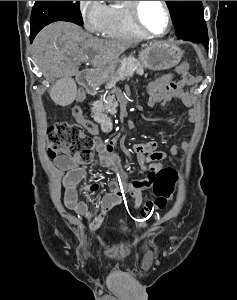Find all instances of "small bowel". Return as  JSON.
Instances as JSON below:
<instances>
[{
  "label": "small bowel",
  "mask_w": 237,
  "mask_h": 300,
  "mask_svg": "<svg viewBox=\"0 0 237 300\" xmlns=\"http://www.w3.org/2000/svg\"><path fill=\"white\" fill-rule=\"evenodd\" d=\"M172 75H165L153 82H151L147 87V94L150 95L157 89L164 87L165 85L173 82ZM198 76H194V85L199 81ZM179 87L176 90L168 93L161 101L160 105H166L171 99H180L187 107L193 106L192 96L185 91V87ZM82 96L79 95V98ZM195 113L193 111L189 112L188 121H194ZM77 122L84 126L89 133L98 134L100 132L99 127L92 123L91 121L85 119L84 117H77ZM158 143L156 141H147L142 143H136L132 146V151L137 156V162L139 167L143 171H147V177L143 180H136L132 182H127V174L123 169L120 158L114 152V145H98L96 148V159L92 163V167H104L109 169L115 174V177L111 180L109 184L110 192L107 193L100 202V211L95 215L92 222L89 225L91 231H96L102 225L107 213L115 206L119 205L122 201V195L124 192L131 193L136 201V207H140L141 195L140 191L149 185V177L153 172H156L163 168L162 164L158 163L168 155H177L181 148L172 147L168 152L158 151ZM56 166L65 172L63 178L64 187V203L65 206L75 211L82 217L91 218L92 213L88 209L87 205L78 200L76 187L85 178L88 166H76L74 160L69 155H60L55 159ZM100 184L98 182L88 184L84 186V190L94 193L98 191ZM153 207L152 203H148L145 208L138 210L137 219L143 224L144 218L149 210Z\"/></svg>",
  "instance_id": "obj_1"
}]
</instances>
